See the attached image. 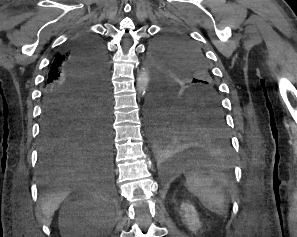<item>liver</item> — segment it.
Segmentation results:
<instances>
[{"instance_id":"obj_1","label":"liver","mask_w":297,"mask_h":237,"mask_svg":"<svg viewBox=\"0 0 297 237\" xmlns=\"http://www.w3.org/2000/svg\"><path fill=\"white\" fill-rule=\"evenodd\" d=\"M89 179V177L83 175L66 176L63 178L64 189L62 191L42 199L41 209L48 223L52 221V217L55 211L58 209L60 203L72 190L83 189L91 185Z\"/></svg>"}]
</instances>
